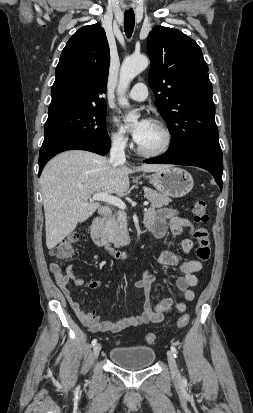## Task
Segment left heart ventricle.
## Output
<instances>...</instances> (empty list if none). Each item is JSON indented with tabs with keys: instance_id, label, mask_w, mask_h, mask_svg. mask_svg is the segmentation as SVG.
Wrapping results in <instances>:
<instances>
[{
	"instance_id": "left-heart-ventricle-1",
	"label": "left heart ventricle",
	"mask_w": 253,
	"mask_h": 413,
	"mask_svg": "<svg viewBox=\"0 0 253 413\" xmlns=\"http://www.w3.org/2000/svg\"><path fill=\"white\" fill-rule=\"evenodd\" d=\"M163 142L164 134L154 123H152L138 145L145 150H155L161 147Z\"/></svg>"
}]
</instances>
